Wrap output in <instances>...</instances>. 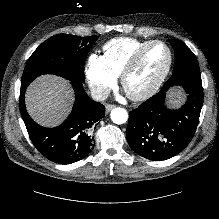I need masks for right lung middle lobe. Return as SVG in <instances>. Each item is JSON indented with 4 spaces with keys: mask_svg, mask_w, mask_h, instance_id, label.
I'll return each instance as SVG.
<instances>
[{
    "mask_svg": "<svg viewBox=\"0 0 219 219\" xmlns=\"http://www.w3.org/2000/svg\"><path fill=\"white\" fill-rule=\"evenodd\" d=\"M96 35L80 37L69 34L54 35L42 43L28 59L21 89L39 75L55 74L70 81L84 82V62Z\"/></svg>",
    "mask_w": 219,
    "mask_h": 219,
    "instance_id": "dd1d6c3e",
    "label": "right lung middle lobe"
}]
</instances>
